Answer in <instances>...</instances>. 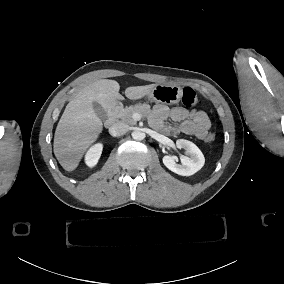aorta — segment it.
Wrapping results in <instances>:
<instances>
[{"instance_id": "762f6f07", "label": "aorta", "mask_w": 284, "mask_h": 284, "mask_svg": "<svg viewBox=\"0 0 284 284\" xmlns=\"http://www.w3.org/2000/svg\"><path fill=\"white\" fill-rule=\"evenodd\" d=\"M144 137H145V134H144L143 132L134 131V132L132 133V138H133L134 140L141 141V140L144 139Z\"/></svg>"}]
</instances>
